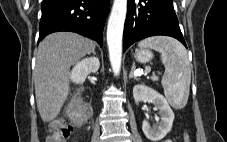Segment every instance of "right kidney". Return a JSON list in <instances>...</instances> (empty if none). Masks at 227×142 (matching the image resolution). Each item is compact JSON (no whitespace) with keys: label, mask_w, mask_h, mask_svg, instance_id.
<instances>
[{"label":"right kidney","mask_w":227,"mask_h":142,"mask_svg":"<svg viewBox=\"0 0 227 142\" xmlns=\"http://www.w3.org/2000/svg\"><path fill=\"white\" fill-rule=\"evenodd\" d=\"M100 62L96 57L85 58L77 62L70 73V78L75 84H83L90 73H96L99 70Z\"/></svg>","instance_id":"right-kidney-1"}]
</instances>
